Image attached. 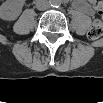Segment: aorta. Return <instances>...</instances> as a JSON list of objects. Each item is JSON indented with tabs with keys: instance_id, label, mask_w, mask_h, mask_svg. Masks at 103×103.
<instances>
[{
	"instance_id": "obj_1",
	"label": "aorta",
	"mask_w": 103,
	"mask_h": 103,
	"mask_svg": "<svg viewBox=\"0 0 103 103\" xmlns=\"http://www.w3.org/2000/svg\"><path fill=\"white\" fill-rule=\"evenodd\" d=\"M52 4H53L54 6H57V5H58V2L55 1V2H53Z\"/></svg>"
}]
</instances>
